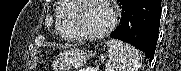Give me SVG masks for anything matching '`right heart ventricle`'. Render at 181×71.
I'll list each match as a JSON object with an SVG mask.
<instances>
[{
    "label": "right heart ventricle",
    "instance_id": "e07e8e85",
    "mask_svg": "<svg viewBox=\"0 0 181 71\" xmlns=\"http://www.w3.org/2000/svg\"><path fill=\"white\" fill-rule=\"evenodd\" d=\"M74 5L71 2L60 1L57 7L58 23L57 31L65 39H76L70 25Z\"/></svg>",
    "mask_w": 181,
    "mask_h": 71
}]
</instances>
